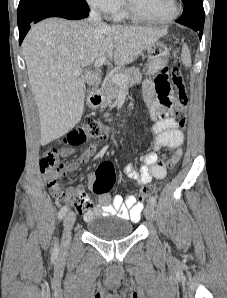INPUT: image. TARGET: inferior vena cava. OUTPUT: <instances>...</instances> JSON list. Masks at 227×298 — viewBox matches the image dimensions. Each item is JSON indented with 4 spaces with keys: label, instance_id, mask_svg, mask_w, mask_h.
<instances>
[{
    "label": "inferior vena cava",
    "instance_id": "602c4592",
    "mask_svg": "<svg viewBox=\"0 0 227 298\" xmlns=\"http://www.w3.org/2000/svg\"><path fill=\"white\" fill-rule=\"evenodd\" d=\"M88 21L90 23L98 24V25H101V26L105 25V23L102 22L101 15L95 9H92L90 11Z\"/></svg>",
    "mask_w": 227,
    "mask_h": 298
}]
</instances>
